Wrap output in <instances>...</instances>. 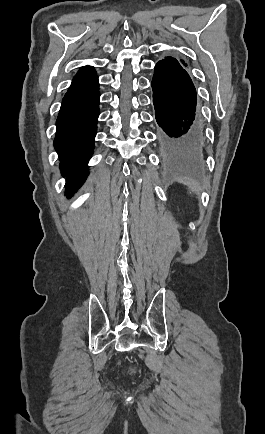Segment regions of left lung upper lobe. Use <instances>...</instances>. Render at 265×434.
Wrapping results in <instances>:
<instances>
[{"instance_id": "5c2ea615", "label": "left lung upper lobe", "mask_w": 265, "mask_h": 434, "mask_svg": "<svg viewBox=\"0 0 265 434\" xmlns=\"http://www.w3.org/2000/svg\"><path fill=\"white\" fill-rule=\"evenodd\" d=\"M180 62H181L185 67L187 66V64H185L183 60H180Z\"/></svg>"}]
</instances>
